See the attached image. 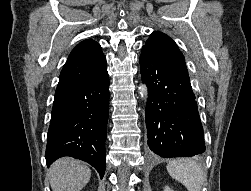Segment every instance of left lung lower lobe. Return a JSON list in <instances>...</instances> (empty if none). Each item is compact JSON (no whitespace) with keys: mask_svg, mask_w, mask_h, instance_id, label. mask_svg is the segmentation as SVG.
<instances>
[{"mask_svg":"<svg viewBox=\"0 0 251 191\" xmlns=\"http://www.w3.org/2000/svg\"><path fill=\"white\" fill-rule=\"evenodd\" d=\"M139 62L149 94L145 119L152 154L192 157L204 153L203 127L188 73L146 52Z\"/></svg>","mask_w":251,"mask_h":191,"instance_id":"obj_1","label":"left lung lower lobe"}]
</instances>
